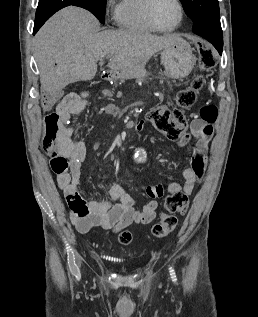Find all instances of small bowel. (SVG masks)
I'll use <instances>...</instances> for the list:
<instances>
[{
    "mask_svg": "<svg viewBox=\"0 0 258 317\" xmlns=\"http://www.w3.org/2000/svg\"><path fill=\"white\" fill-rule=\"evenodd\" d=\"M86 107V100L80 94H69L58 105L57 110L64 116L67 125L64 142L58 153L52 154L50 165L56 174L58 188L63 193L68 206L69 217L75 228L86 233L101 228L119 232L132 223L149 224L156 218L157 199L163 195L164 184H156L144 188L151 200L137 209V201L120 183H114L106 199H95L82 190L80 177L82 165L86 158V146L82 141L72 139L69 120L80 114ZM144 122L137 125L141 131ZM213 134V127L202 119L195 118L189 131L177 140L180 147L190 146L192 154L188 164L181 172L182 182H169L167 191L172 194L183 192L189 195L195 184L203 177L206 164L208 143Z\"/></svg>",
    "mask_w": 258,
    "mask_h": 317,
    "instance_id": "small-bowel-1",
    "label": "small bowel"
}]
</instances>
